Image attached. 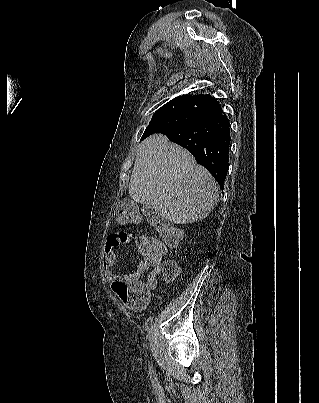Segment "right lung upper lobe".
I'll return each instance as SVG.
<instances>
[{
    "mask_svg": "<svg viewBox=\"0 0 319 403\" xmlns=\"http://www.w3.org/2000/svg\"><path fill=\"white\" fill-rule=\"evenodd\" d=\"M174 102H190V103H195L202 105L206 108L211 109L212 114H218L222 113V108L221 105L210 95H183L174 98L171 100L169 103H174Z\"/></svg>",
    "mask_w": 319,
    "mask_h": 403,
    "instance_id": "1",
    "label": "right lung upper lobe"
}]
</instances>
